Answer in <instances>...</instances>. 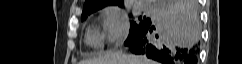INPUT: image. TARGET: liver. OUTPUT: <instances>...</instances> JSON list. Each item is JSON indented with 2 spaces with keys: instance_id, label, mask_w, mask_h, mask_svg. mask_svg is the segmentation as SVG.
Masks as SVG:
<instances>
[{
  "instance_id": "obj_1",
  "label": "liver",
  "mask_w": 242,
  "mask_h": 64,
  "mask_svg": "<svg viewBox=\"0 0 242 64\" xmlns=\"http://www.w3.org/2000/svg\"><path fill=\"white\" fill-rule=\"evenodd\" d=\"M180 20L186 36H193V38H197L198 40L200 37V29L198 23L195 22L192 16L189 13H183ZM79 64H156V62L143 56L113 53L98 59L83 60Z\"/></svg>"
}]
</instances>
